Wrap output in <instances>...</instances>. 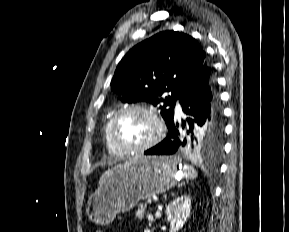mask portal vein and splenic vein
Listing matches in <instances>:
<instances>
[{"instance_id": "18ae733b", "label": "portal vein and splenic vein", "mask_w": 289, "mask_h": 232, "mask_svg": "<svg viewBox=\"0 0 289 232\" xmlns=\"http://www.w3.org/2000/svg\"><path fill=\"white\" fill-rule=\"evenodd\" d=\"M156 200H157V198L148 199V200H147V203L151 204L153 201H156Z\"/></svg>"}]
</instances>
